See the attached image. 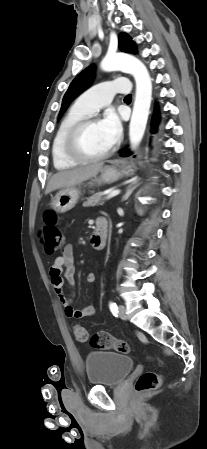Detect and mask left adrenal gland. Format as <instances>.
Masks as SVG:
<instances>
[{"mask_svg": "<svg viewBox=\"0 0 207 449\" xmlns=\"http://www.w3.org/2000/svg\"><path fill=\"white\" fill-rule=\"evenodd\" d=\"M139 181L140 179H136L126 187V192L122 198V201H125L130 197L132 192L140 185Z\"/></svg>", "mask_w": 207, "mask_h": 449, "instance_id": "a2214340", "label": "left adrenal gland"}]
</instances>
